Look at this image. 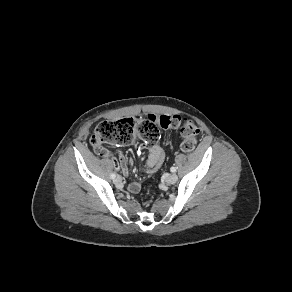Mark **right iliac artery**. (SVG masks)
<instances>
[{
    "instance_id": "1",
    "label": "right iliac artery",
    "mask_w": 292,
    "mask_h": 292,
    "mask_svg": "<svg viewBox=\"0 0 292 292\" xmlns=\"http://www.w3.org/2000/svg\"><path fill=\"white\" fill-rule=\"evenodd\" d=\"M115 177H116L115 173H111V178L115 179Z\"/></svg>"
}]
</instances>
